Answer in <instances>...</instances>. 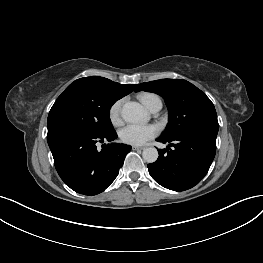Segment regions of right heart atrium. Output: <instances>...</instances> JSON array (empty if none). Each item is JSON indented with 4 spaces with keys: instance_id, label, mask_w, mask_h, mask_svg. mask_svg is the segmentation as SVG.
I'll use <instances>...</instances> for the list:
<instances>
[{
    "instance_id": "d8ad5b80",
    "label": "right heart atrium",
    "mask_w": 263,
    "mask_h": 263,
    "mask_svg": "<svg viewBox=\"0 0 263 263\" xmlns=\"http://www.w3.org/2000/svg\"><path fill=\"white\" fill-rule=\"evenodd\" d=\"M121 105H122V100H117L109 108L108 111V117L110 122L114 126H119L121 124Z\"/></svg>"
}]
</instances>
